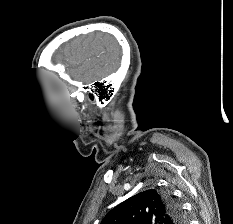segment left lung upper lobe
<instances>
[{"label": "left lung upper lobe", "mask_w": 233, "mask_h": 224, "mask_svg": "<svg viewBox=\"0 0 233 224\" xmlns=\"http://www.w3.org/2000/svg\"><path fill=\"white\" fill-rule=\"evenodd\" d=\"M173 197L155 189L140 192L112 209L101 224H183Z\"/></svg>", "instance_id": "left-lung-upper-lobe-1"}]
</instances>
